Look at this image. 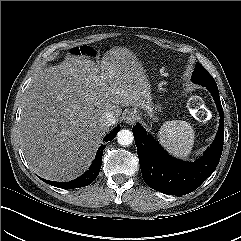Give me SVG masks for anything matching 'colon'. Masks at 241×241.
<instances>
[{
    "label": "colon",
    "instance_id": "obj_1",
    "mask_svg": "<svg viewBox=\"0 0 241 241\" xmlns=\"http://www.w3.org/2000/svg\"><path fill=\"white\" fill-rule=\"evenodd\" d=\"M76 53L89 54L91 51L86 48H80L75 50ZM189 109L193 111L196 118L199 120H206L209 118V112L204 106L202 99L199 96H192L188 102Z\"/></svg>",
    "mask_w": 241,
    "mask_h": 241
}]
</instances>
